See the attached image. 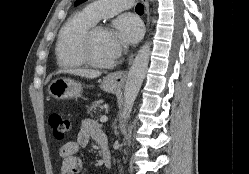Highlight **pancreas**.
Wrapping results in <instances>:
<instances>
[{"label":"pancreas","instance_id":"obj_1","mask_svg":"<svg viewBox=\"0 0 249 174\" xmlns=\"http://www.w3.org/2000/svg\"><path fill=\"white\" fill-rule=\"evenodd\" d=\"M97 109H100V110L104 109L102 100L94 101L90 106H87L88 113L96 112ZM100 110H98V111H100Z\"/></svg>","mask_w":249,"mask_h":174}]
</instances>
